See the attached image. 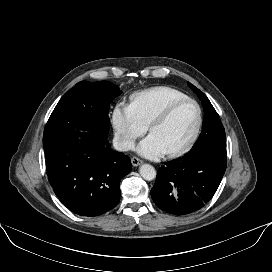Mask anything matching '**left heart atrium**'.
<instances>
[{
  "label": "left heart atrium",
  "instance_id": "obj_1",
  "mask_svg": "<svg viewBox=\"0 0 272 272\" xmlns=\"http://www.w3.org/2000/svg\"><path fill=\"white\" fill-rule=\"evenodd\" d=\"M137 151L144 157L151 159L159 158L165 154L157 139L151 135L138 145Z\"/></svg>",
  "mask_w": 272,
  "mask_h": 272
}]
</instances>
